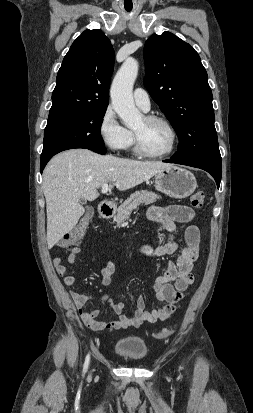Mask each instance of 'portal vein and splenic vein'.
I'll return each instance as SVG.
<instances>
[{
	"label": "portal vein and splenic vein",
	"mask_w": 253,
	"mask_h": 413,
	"mask_svg": "<svg viewBox=\"0 0 253 413\" xmlns=\"http://www.w3.org/2000/svg\"><path fill=\"white\" fill-rule=\"evenodd\" d=\"M108 190H109V188H108V184L107 183H105V184H103L102 186H101V193H107L108 192Z\"/></svg>",
	"instance_id": "1"
}]
</instances>
